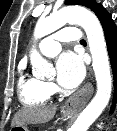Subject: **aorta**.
Instances as JSON below:
<instances>
[{"label":"aorta","mask_w":117,"mask_h":131,"mask_svg":"<svg viewBox=\"0 0 117 131\" xmlns=\"http://www.w3.org/2000/svg\"><path fill=\"white\" fill-rule=\"evenodd\" d=\"M66 23L78 24L85 30L93 59L92 66L97 81V92L71 127V131H87L100 116L111 97L112 77L106 43L98 18L82 7H66L46 18H39L34 29V37L35 39L42 38ZM30 60L33 74L36 77L48 76L52 73V65L37 50L31 52Z\"/></svg>","instance_id":"obj_1"}]
</instances>
